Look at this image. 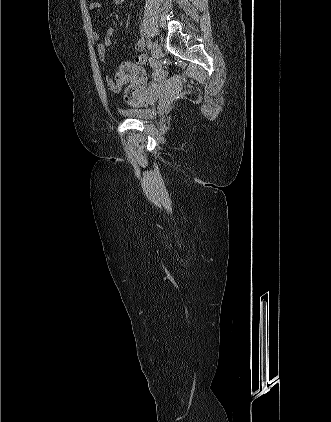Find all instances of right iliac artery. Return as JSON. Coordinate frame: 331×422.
<instances>
[{"instance_id": "right-iliac-artery-1", "label": "right iliac artery", "mask_w": 331, "mask_h": 422, "mask_svg": "<svg viewBox=\"0 0 331 422\" xmlns=\"http://www.w3.org/2000/svg\"><path fill=\"white\" fill-rule=\"evenodd\" d=\"M146 44H147V51L148 52H152L153 51V48H152L151 43L150 42H147Z\"/></svg>"}]
</instances>
